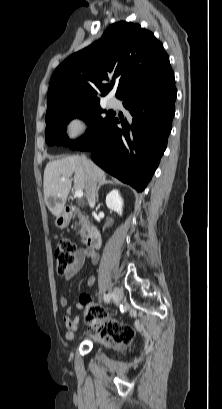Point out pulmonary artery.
Here are the masks:
<instances>
[{
	"label": "pulmonary artery",
	"mask_w": 222,
	"mask_h": 409,
	"mask_svg": "<svg viewBox=\"0 0 222 409\" xmlns=\"http://www.w3.org/2000/svg\"><path fill=\"white\" fill-rule=\"evenodd\" d=\"M108 105L110 107H115L117 105V100L115 98H109L108 99Z\"/></svg>",
	"instance_id": "pulmonary-artery-1"
}]
</instances>
